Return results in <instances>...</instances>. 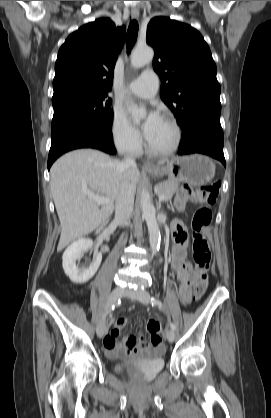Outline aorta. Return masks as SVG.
Masks as SVG:
<instances>
[{"label": "aorta", "instance_id": "aorta-1", "mask_svg": "<svg viewBox=\"0 0 271 418\" xmlns=\"http://www.w3.org/2000/svg\"><path fill=\"white\" fill-rule=\"evenodd\" d=\"M153 57L154 51L152 48H137L131 55V66L133 68H141L149 62H151ZM126 106L128 110L132 113V115L136 117L137 122L139 118H143L145 116V113L140 112L131 101L126 100ZM141 208L142 216L145 219L146 224L148 226L151 252L152 255H155L160 247L161 236L159 226L156 220V210L151 202L149 193L146 189H143L141 192Z\"/></svg>", "mask_w": 271, "mask_h": 418}]
</instances>
